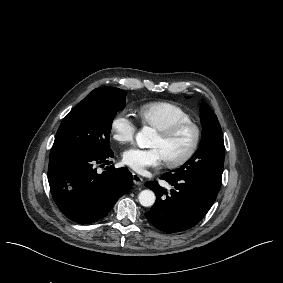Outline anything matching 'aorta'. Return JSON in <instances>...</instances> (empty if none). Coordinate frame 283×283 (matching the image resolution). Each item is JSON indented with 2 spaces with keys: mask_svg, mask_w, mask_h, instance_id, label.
Wrapping results in <instances>:
<instances>
[{
  "mask_svg": "<svg viewBox=\"0 0 283 283\" xmlns=\"http://www.w3.org/2000/svg\"><path fill=\"white\" fill-rule=\"evenodd\" d=\"M155 136V130L150 127H143L136 134V142L140 148L151 147L152 139ZM138 200L144 207H151L154 205L156 196L152 190L146 189L139 193Z\"/></svg>",
  "mask_w": 283,
  "mask_h": 283,
  "instance_id": "1",
  "label": "aorta"
}]
</instances>
